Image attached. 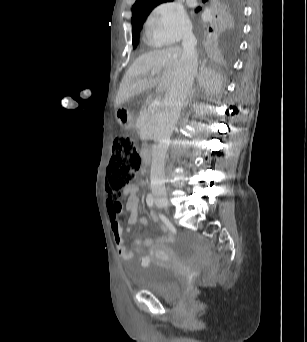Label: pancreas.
I'll return each mask as SVG.
<instances>
[{
	"label": "pancreas",
	"mask_w": 307,
	"mask_h": 342,
	"mask_svg": "<svg viewBox=\"0 0 307 342\" xmlns=\"http://www.w3.org/2000/svg\"><path fill=\"white\" fill-rule=\"evenodd\" d=\"M156 114L150 112H141L136 120V128L141 134H153L152 122H154ZM149 140V138H146Z\"/></svg>",
	"instance_id": "obj_1"
}]
</instances>
